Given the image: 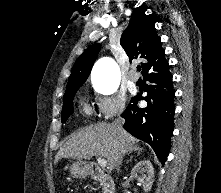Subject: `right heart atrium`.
I'll use <instances>...</instances> for the list:
<instances>
[{
    "label": "right heart atrium",
    "mask_w": 221,
    "mask_h": 193,
    "mask_svg": "<svg viewBox=\"0 0 221 193\" xmlns=\"http://www.w3.org/2000/svg\"><path fill=\"white\" fill-rule=\"evenodd\" d=\"M95 107L99 117L108 120L121 114L126 107V98L122 93L113 92L109 95H98Z\"/></svg>",
    "instance_id": "right-heart-atrium-1"
}]
</instances>
